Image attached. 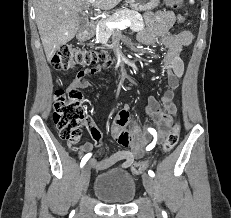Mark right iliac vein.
I'll return each instance as SVG.
<instances>
[{
	"label": "right iliac vein",
	"instance_id": "obj_1",
	"mask_svg": "<svg viewBox=\"0 0 231 218\" xmlns=\"http://www.w3.org/2000/svg\"><path fill=\"white\" fill-rule=\"evenodd\" d=\"M90 181V167L89 165H85L81 171V190L82 192H86L89 186Z\"/></svg>",
	"mask_w": 231,
	"mask_h": 218
}]
</instances>
